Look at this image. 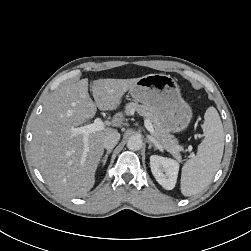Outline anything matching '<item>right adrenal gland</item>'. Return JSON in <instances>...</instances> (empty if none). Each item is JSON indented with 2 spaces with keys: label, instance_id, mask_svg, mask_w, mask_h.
<instances>
[{
  "label": "right adrenal gland",
  "instance_id": "1",
  "mask_svg": "<svg viewBox=\"0 0 251 251\" xmlns=\"http://www.w3.org/2000/svg\"><path fill=\"white\" fill-rule=\"evenodd\" d=\"M111 152H112V150H111V149H110V150H108V151L106 152V154L104 155V157L102 158V160H101V162H102V166H104V165L106 164L107 159H108V155H109Z\"/></svg>",
  "mask_w": 251,
  "mask_h": 251
}]
</instances>
